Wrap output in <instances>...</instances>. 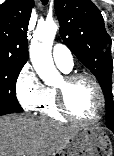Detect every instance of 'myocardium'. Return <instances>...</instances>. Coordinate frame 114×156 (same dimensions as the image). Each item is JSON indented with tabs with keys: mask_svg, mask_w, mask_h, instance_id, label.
<instances>
[{
	"mask_svg": "<svg viewBox=\"0 0 114 156\" xmlns=\"http://www.w3.org/2000/svg\"><path fill=\"white\" fill-rule=\"evenodd\" d=\"M82 79L90 81L93 84V86L95 87L97 94H98L99 110H98L97 115L91 120H82V119L76 117L70 111V109L68 107V102H67L68 90L74 83H76L77 81L82 80ZM56 92H57L58 109H59L60 113L69 121H72L74 123L81 124V125H93V124L97 123L102 118V115H103V112L105 109V97H104V93H103L100 83L92 75L87 74V73L69 74L63 79V85L58 86L56 88Z\"/></svg>",
	"mask_w": 114,
	"mask_h": 156,
	"instance_id": "obj_1",
	"label": "myocardium"
}]
</instances>
